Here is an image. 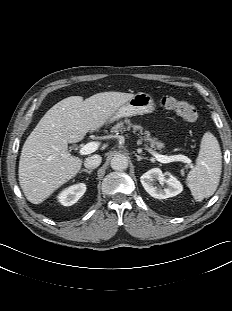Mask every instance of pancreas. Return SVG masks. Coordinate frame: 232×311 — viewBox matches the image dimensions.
<instances>
[{"instance_id":"obj_1","label":"pancreas","mask_w":232,"mask_h":311,"mask_svg":"<svg viewBox=\"0 0 232 311\" xmlns=\"http://www.w3.org/2000/svg\"><path fill=\"white\" fill-rule=\"evenodd\" d=\"M130 129L133 130L134 134L137 131H139L138 135L140 136L141 140H145L146 142H149V144L152 148L160 150L164 147V144L162 142H160L156 138H152L150 136L149 131H143V128L140 125L132 124L129 119L117 122V124L111 128V132L112 133H118V132L122 133L125 131H129Z\"/></svg>"}]
</instances>
